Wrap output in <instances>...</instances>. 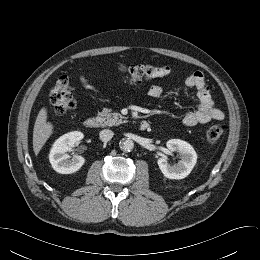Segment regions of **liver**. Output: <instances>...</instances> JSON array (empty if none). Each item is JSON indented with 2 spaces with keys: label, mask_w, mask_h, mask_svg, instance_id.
<instances>
[{
  "label": "liver",
  "mask_w": 260,
  "mask_h": 260,
  "mask_svg": "<svg viewBox=\"0 0 260 260\" xmlns=\"http://www.w3.org/2000/svg\"><path fill=\"white\" fill-rule=\"evenodd\" d=\"M53 133V125L47 122V109L43 107L36 118L33 129V151L37 155Z\"/></svg>",
  "instance_id": "1"
}]
</instances>
